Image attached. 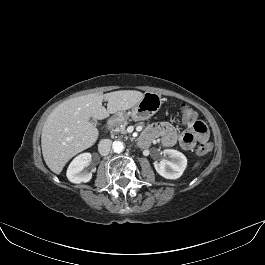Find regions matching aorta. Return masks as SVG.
Masks as SVG:
<instances>
[{"instance_id":"1","label":"aorta","mask_w":265,"mask_h":265,"mask_svg":"<svg viewBox=\"0 0 265 265\" xmlns=\"http://www.w3.org/2000/svg\"><path fill=\"white\" fill-rule=\"evenodd\" d=\"M113 151L116 153H120L124 150V145L121 141H114L112 145Z\"/></svg>"}]
</instances>
